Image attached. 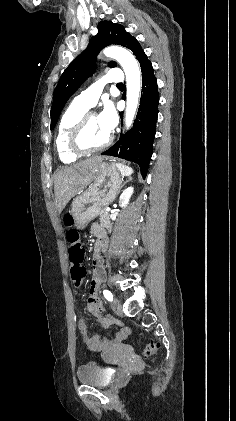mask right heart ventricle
<instances>
[{"label": "right heart ventricle", "instance_id": "1", "mask_svg": "<svg viewBox=\"0 0 236 421\" xmlns=\"http://www.w3.org/2000/svg\"><path fill=\"white\" fill-rule=\"evenodd\" d=\"M87 109L76 103L72 102L69 107L62 114L55 139V146L59 159L64 164L74 163L79 159V155L72 152L68 146V133L74 122L86 111Z\"/></svg>", "mask_w": 236, "mask_h": 421}]
</instances>
